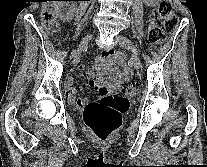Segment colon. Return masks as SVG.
Returning a JSON list of instances; mask_svg holds the SVG:
<instances>
[{
    "mask_svg": "<svg viewBox=\"0 0 207 167\" xmlns=\"http://www.w3.org/2000/svg\"><path fill=\"white\" fill-rule=\"evenodd\" d=\"M42 23L50 33L57 31L58 22L52 8L44 5ZM178 25V18L173 12L170 0H160L156 12L152 13L148 24V41L151 46L159 47L164 41L165 33L172 32ZM112 53V51H111ZM116 58L124 61V56ZM138 95L135 83L125 82L119 94H105L88 104L83 112V120L89 130L101 141H105L122 122V116L130 106V99Z\"/></svg>",
    "mask_w": 207,
    "mask_h": 167,
    "instance_id": "colon-1",
    "label": "colon"
}]
</instances>
